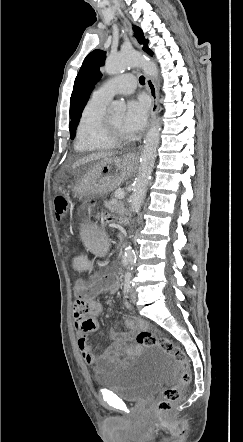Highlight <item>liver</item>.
Instances as JSON below:
<instances>
[{
    "label": "liver",
    "instance_id": "6515ba94",
    "mask_svg": "<svg viewBox=\"0 0 243 442\" xmlns=\"http://www.w3.org/2000/svg\"><path fill=\"white\" fill-rule=\"evenodd\" d=\"M113 156H114V153H112V152H98V153H94V154H91L89 156L83 157V158L79 159L78 161H76L73 164L72 168H76V167H79V166L84 165L86 163H90V162L101 160V159L102 160L109 159V158H112Z\"/></svg>",
    "mask_w": 243,
    "mask_h": 442
}]
</instances>
